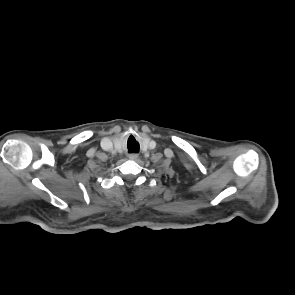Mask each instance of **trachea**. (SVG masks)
Masks as SVG:
<instances>
[{
  "mask_svg": "<svg viewBox=\"0 0 295 295\" xmlns=\"http://www.w3.org/2000/svg\"><path fill=\"white\" fill-rule=\"evenodd\" d=\"M127 147H128L129 152H137L138 143H137V141L135 140L134 137L131 136L128 139Z\"/></svg>",
  "mask_w": 295,
  "mask_h": 295,
  "instance_id": "obj_1",
  "label": "trachea"
}]
</instances>
